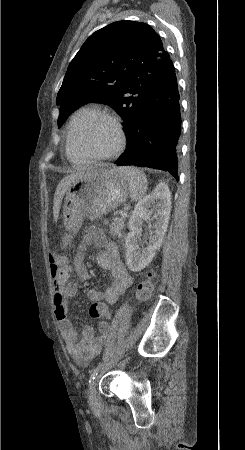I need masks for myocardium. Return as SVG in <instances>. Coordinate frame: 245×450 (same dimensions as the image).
Here are the masks:
<instances>
[{"label": "myocardium", "instance_id": "1", "mask_svg": "<svg viewBox=\"0 0 245 450\" xmlns=\"http://www.w3.org/2000/svg\"><path fill=\"white\" fill-rule=\"evenodd\" d=\"M94 120H105V121L109 122L114 127V129L117 133V138H118L117 145L114 148V150L108 154L101 155V156L88 155L85 152H83L76 143V139H75L76 125L81 121H94ZM68 136H69L71 148L76 153H78L84 159H91V160H95V161H107V160H111V159L118 157L122 153V151L124 150L125 145H126V134H125V131H124V128H123V125H122L120 119L116 115L109 113L107 111H104V110L94 111L84 118H80L77 116L72 118V120L69 124V128H68Z\"/></svg>", "mask_w": 245, "mask_h": 450}]
</instances>
